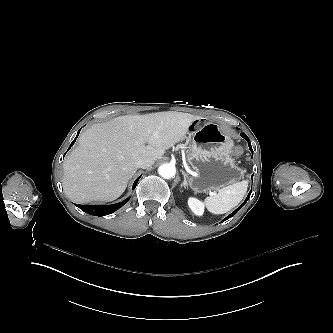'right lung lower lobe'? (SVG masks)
Listing matches in <instances>:
<instances>
[{
  "mask_svg": "<svg viewBox=\"0 0 333 333\" xmlns=\"http://www.w3.org/2000/svg\"><path fill=\"white\" fill-rule=\"evenodd\" d=\"M80 130L78 131L79 134ZM77 134V136H78ZM76 136V138H77ZM76 138L73 140V142L71 143L69 149L71 148V146L74 144ZM68 149V150H69ZM141 176H139L134 184H133V189L136 187L138 180ZM129 199L123 201V202H119L116 204H111V205H77L82 211L86 212L87 214L90 215H95V216H105L108 214H111L113 212H115L116 210H118L120 207H122Z\"/></svg>",
  "mask_w": 333,
  "mask_h": 333,
  "instance_id": "98d812e1",
  "label": "right lung lower lobe"
}]
</instances>
